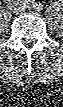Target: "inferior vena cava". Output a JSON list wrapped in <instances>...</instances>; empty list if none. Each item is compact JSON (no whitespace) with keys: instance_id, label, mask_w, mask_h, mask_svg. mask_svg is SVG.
<instances>
[{"instance_id":"obj_1","label":"inferior vena cava","mask_w":63,"mask_h":107,"mask_svg":"<svg viewBox=\"0 0 63 107\" xmlns=\"http://www.w3.org/2000/svg\"><path fill=\"white\" fill-rule=\"evenodd\" d=\"M23 10H24V8L19 9V11H23Z\"/></svg>"}]
</instances>
